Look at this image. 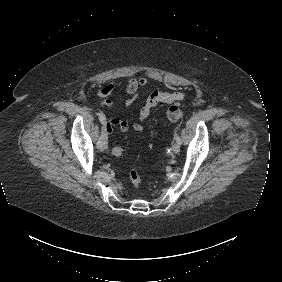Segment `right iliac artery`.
Returning a JSON list of instances; mask_svg holds the SVG:
<instances>
[{"label":"right iliac artery","instance_id":"82829eb1","mask_svg":"<svg viewBox=\"0 0 282 282\" xmlns=\"http://www.w3.org/2000/svg\"><path fill=\"white\" fill-rule=\"evenodd\" d=\"M98 117H99V120L102 124H105L106 123V117L105 115L101 112L98 114ZM102 133V132H101Z\"/></svg>","mask_w":282,"mask_h":282}]
</instances>
